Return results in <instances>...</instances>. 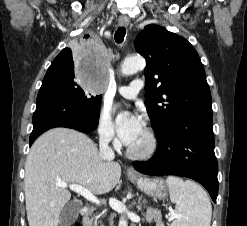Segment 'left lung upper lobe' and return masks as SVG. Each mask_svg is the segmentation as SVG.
Returning <instances> with one entry per match:
<instances>
[{"instance_id":"obj_1","label":"left lung upper lobe","mask_w":247,"mask_h":226,"mask_svg":"<svg viewBox=\"0 0 247 226\" xmlns=\"http://www.w3.org/2000/svg\"><path fill=\"white\" fill-rule=\"evenodd\" d=\"M145 57L146 109L156 134L200 110H212L211 93L199 55L185 38L154 24L135 39Z\"/></svg>"}]
</instances>
